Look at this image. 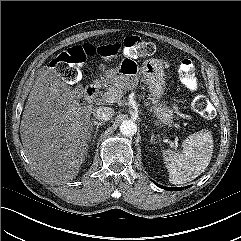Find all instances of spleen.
<instances>
[{
  "instance_id": "obj_1",
  "label": "spleen",
  "mask_w": 241,
  "mask_h": 241,
  "mask_svg": "<svg viewBox=\"0 0 241 241\" xmlns=\"http://www.w3.org/2000/svg\"><path fill=\"white\" fill-rule=\"evenodd\" d=\"M211 132L202 129L189 135L182 143L180 152L163 151V159L172 184H184L198 177L207 168L213 153Z\"/></svg>"
}]
</instances>
